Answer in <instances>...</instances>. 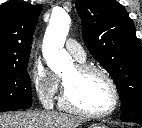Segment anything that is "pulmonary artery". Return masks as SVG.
<instances>
[{"label":"pulmonary artery","instance_id":"e3ab8cb5","mask_svg":"<svg viewBox=\"0 0 142 128\" xmlns=\"http://www.w3.org/2000/svg\"><path fill=\"white\" fill-rule=\"evenodd\" d=\"M65 46L67 51L78 61L84 62L86 60V52L77 41H75L74 39H68Z\"/></svg>","mask_w":142,"mask_h":128}]
</instances>
